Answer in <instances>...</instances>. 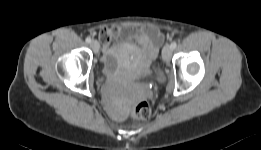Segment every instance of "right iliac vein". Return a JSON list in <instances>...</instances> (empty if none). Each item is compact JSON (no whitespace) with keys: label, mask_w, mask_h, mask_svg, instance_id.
I'll return each mask as SVG.
<instances>
[{"label":"right iliac vein","mask_w":261,"mask_h":150,"mask_svg":"<svg viewBox=\"0 0 261 150\" xmlns=\"http://www.w3.org/2000/svg\"><path fill=\"white\" fill-rule=\"evenodd\" d=\"M90 46L95 53H97L99 51V43L97 40H92L90 43Z\"/></svg>","instance_id":"63e3f726"}]
</instances>
